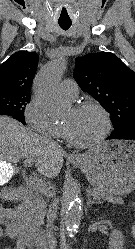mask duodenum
<instances>
[{
	"instance_id": "1",
	"label": "duodenum",
	"mask_w": 135,
	"mask_h": 249,
	"mask_svg": "<svg viewBox=\"0 0 135 249\" xmlns=\"http://www.w3.org/2000/svg\"><path fill=\"white\" fill-rule=\"evenodd\" d=\"M32 197H33L32 190L29 187H22V186L7 189L3 193V198L6 199L7 201L18 202V203H23V204L29 203ZM16 209L17 211L20 212V218L24 223V232H25V227L28 230L32 231V225L30 224L28 220H25L24 215L21 212V209L20 208H16ZM28 242L30 246L33 248L41 247V245L44 244L42 232H38L37 235H35V237L32 238L31 240L28 237Z\"/></svg>"
}]
</instances>
